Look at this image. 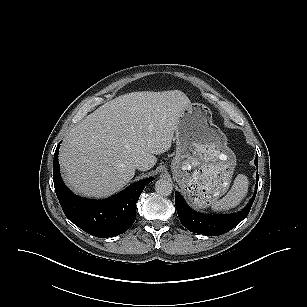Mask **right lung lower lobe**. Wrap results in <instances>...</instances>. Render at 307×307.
<instances>
[{"instance_id": "1", "label": "right lung lower lobe", "mask_w": 307, "mask_h": 307, "mask_svg": "<svg viewBox=\"0 0 307 307\" xmlns=\"http://www.w3.org/2000/svg\"><path fill=\"white\" fill-rule=\"evenodd\" d=\"M57 146L54 154L53 181L56 195L66 217L85 232L100 238L127 231L135 221V205L153 177L138 181L122 192L104 200L84 199L74 195L64 184L59 171Z\"/></svg>"}]
</instances>
